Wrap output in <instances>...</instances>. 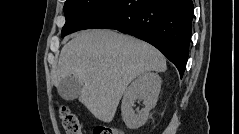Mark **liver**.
<instances>
[{"label": "liver", "instance_id": "1", "mask_svg": "<svg viewBox=\"0 0 239 134\" xmlns=\"http://www.w3.org/2000/svg\"><path fill=\"white\" fill-rule=\"evenodd\" d=\"M164 56L150 44L112 30L79 33L61 50L56 86L68 76L81 85L79 101L99 120L111 122L129 83L150 71H166Z\"/></svg>", "mask_w": 239, "mask_h": 134}]
</instances>
